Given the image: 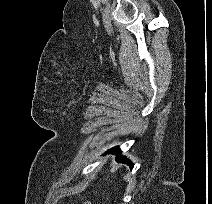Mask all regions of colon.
Wrapping results in <instances>:
<instances>
[{"mask_svg": "<svg viewBox=\"0 0 212 204\" xmlns=\"http://www.w3.org/2000/svg\"><path fill=\"white\" fill-rule=\"evenodd\" d=\"M84 204H91L89 201L84 202Z\"/></svg>", "mask_w": 212, "mask_h": 204, "instance_id": "5ec220e1", "label": "colon"}]
</instances>
